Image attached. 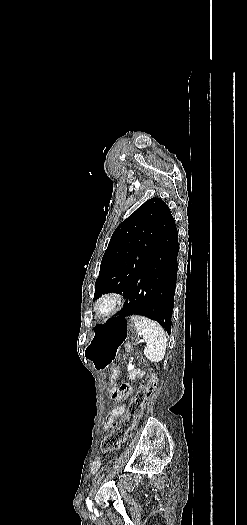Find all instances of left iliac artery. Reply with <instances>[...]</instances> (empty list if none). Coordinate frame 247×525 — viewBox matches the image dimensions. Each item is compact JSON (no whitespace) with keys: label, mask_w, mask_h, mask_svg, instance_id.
<instances>
[{"label":"left iliac artery","mask_w":247,"mask_h":525,"mask_svg":"<svg viewBox=\"0 0 247 525\" xmlns=\"http://www.w3.org/2000/svg\"><path fill=\"white\" fill-rule=\"evenodd\" d=\"M86 504H87L88 509L92 510L93 503L89 497L86 499Z\"/></svg>","instance_id":"44dca946"}]
</instances>
